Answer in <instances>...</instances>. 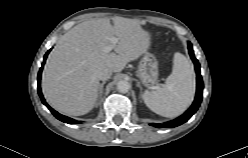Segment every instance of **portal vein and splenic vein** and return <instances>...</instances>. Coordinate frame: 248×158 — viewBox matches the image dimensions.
<instances>
[{"label": "portal vein and splenic vein", "instance_id": "obj_1", "mask_svg": "<svg viewBox=\"0 0 248 158\" xmlns=\"http://www.w3.org/2000/svg\"><path fill=\"white\" fill-rule=\"evenodd\" d=\"M110 41H111V43H110L108 46H106V47L104 48V51H105L106 53H109L110 51H112V50L114 49V47H115L116 44L118 43V38L115 37V36H112V37L110 38Z\"/></svg>", "mask_w": 248, "mask_h": 158}]
</instances>
